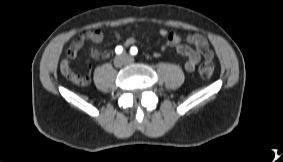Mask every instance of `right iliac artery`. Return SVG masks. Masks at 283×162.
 I'll return each mask as SVG.
<instances>
[{"label":"right iliac artery","mask_w":283,"mask_h":162,"mask_svg":"<svg viewBox=\"0 0 283 162\" xmlns=\"http://www.w3.org/2000/svg\"><path fill=\"white\" fill-rule=\"evenodd\" d=\"M115 52H116L117 54H121V53L123 52V47H122V46H117V47L115 48Z\"/></svg>","instance_id":"obj_1"}]
</instances>
